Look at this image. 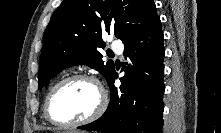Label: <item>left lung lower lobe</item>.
Segmentation results:
<instances>
[{
  "mask_svg": "<svg viewBox=\"0 0 221 133\" xmlns=\"http://www.w3.org/2000/svg\"><path fill=\"white\" fill-rule=\"evenodd\" d=\"M131 65L123 67L120 89L114 70L108 80L111 100L96 121L78 129L103 133H160L163 126V32L160 18L124 43Z\"/></svg>",
  "mask_w": 221,
  "mask_h": 133,
  "instance_id": "1",
  "label": "left lung lower lobe"
}]
</instances>
